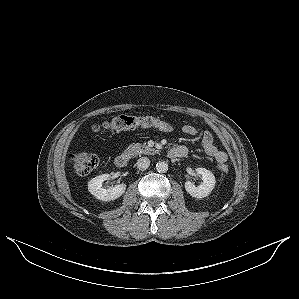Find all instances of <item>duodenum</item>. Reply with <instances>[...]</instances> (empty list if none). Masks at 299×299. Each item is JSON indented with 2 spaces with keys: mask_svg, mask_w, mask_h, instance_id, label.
Returning <instances> with one entry per match:
<instances>
[{
  "mask_svg": "<svg viewBox=\"0 0 299 299\" xmlns=\"http://www.w3.org/2000/svg\"><path fill=\"white\" fill-rule=\"evenodd\" d=\"M187 154V148L184 146L173 147L169 150V157H184ZM130 160V156L126 153L119 154L114 161V164L117 168L123 169L126 168Z\"/></svg>",
  "mask_w": 299,
  "mask_h": 299,
  "instance_id": "1",
  "label": "duodenum"
}]
</instances>
